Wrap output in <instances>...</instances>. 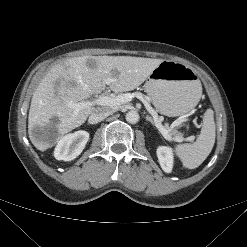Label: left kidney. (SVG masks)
<instances>
[{
  "instance_id": "left-kidney-1",
  "label": "left kidney",
  "mask_w": 247,
  "mask_h": 247,
  "mask_svg": "<svg viewBox=\"0 0 247 247\" xmlns=\"http://www.w3.org/2000/svg\"><path fill=\"white\" fill-rule=\"evenodd\" d=\"M157 157L162 170L166 173H170L174 162L172 149L166 146L158 147Z\"/></svg>"
}]
</instances>
